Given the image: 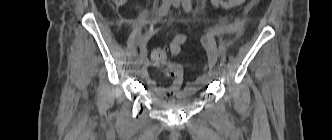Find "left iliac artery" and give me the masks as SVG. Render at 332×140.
I'll return each instance as SVG.
<instances>
[{
    "label": "left iliac artery",
    "instance_id": "1",
    "mask_svg": "<svg viewBox=\"0 0 332 140\" xmlns=\"http://www.w3.org/2000/svg\"><path fill=\"white\" fill-rule=\"evenodd\" d=\"M182 5L183 8L185 9L186 12H190L192 9V4H191V0H182ZM216 70L218 72L221 71V67L220 66H216Z\"/></svg>",
    "mask_w": 332,
    "mask_h": 140
}]
</instances>
